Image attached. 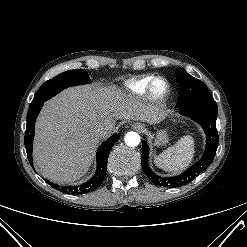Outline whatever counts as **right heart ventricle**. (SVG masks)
<instances>
[{"label": "right heart ventricle", "instance_id": "obj_1", "mask_svg": "<svg viewBox=\"0 0 247 247\" xmlns=\"http://www.w3.org/2000/svg\"><path fill=\"white\" fill-rule=\"evenodd\" d=\"M153 76L145 75L128 80L124 87L128 93L135 96H141L147 92V87Z\"/></svg>", "mask_w": 247, "mask_h": 247}]
</instances>
